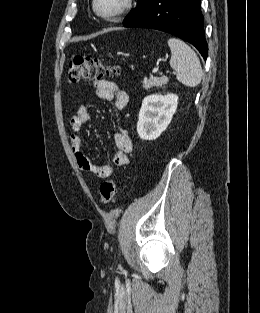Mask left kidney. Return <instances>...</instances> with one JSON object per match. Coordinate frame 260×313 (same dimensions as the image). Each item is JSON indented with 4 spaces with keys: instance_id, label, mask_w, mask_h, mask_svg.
<instances>
[{
    "instance_id": "5707ae66",
    "label": "left kidney",
    "mask_w": 260,
    "mask_h": 313,
    "mask_svg": "<svg viewBox=\"0 0 260 313\" xmlns=\"http://www.w3.org/2000/svg\"><path fill=\"white\" fill-rule=\"evenodd\" d=\"M178 105L175 94L149 95L144 98L137 122L142 140H155L170 124Z\"/></svg>"
}]
</instances>
